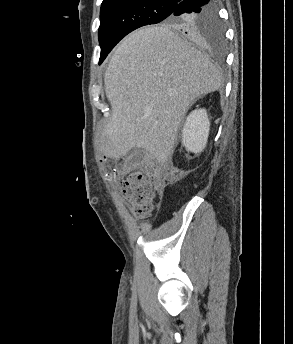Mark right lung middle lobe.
<instances>
[{
  "mask_svg": "<svg viewBox=\"0 0 293 344\" xmlns=\"http://www.w3.org/2000/svg\"><path fill=\"white\" fill-rule=\"evenodd\" d=\"M176 3L162 0H124L102 3L100 11V64L113 47L131 31L161 21L179 29L192 40L214 49L224 47V31L215 5L209 12L173 16Z\"/></svg>",
  "mask_w": 293,
  "mask_h": 344,
  "instance_id": "obj_1",
  "label": "right lung middle lobe"
}]
</instances>
